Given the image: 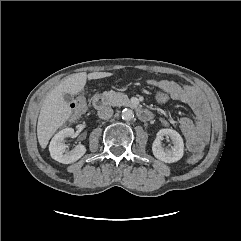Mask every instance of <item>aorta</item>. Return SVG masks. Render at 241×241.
<instances>
[{
    "label": "aorta",
    "mask_w": 241,
    "mask_h": 241,
    "mask_svg": "<svg viewBox=\"0 0 241 241\" xmlns=\"http://www.w3.org/2000/svg\"><path fill=\"white\" fill-rule=\"evenodd\" d=\"M134 118V113L131 109H124L122 111V119L125 121H130Z\"/></svg>",
    "instance_id": "aorta-1"
}]
</instances>
